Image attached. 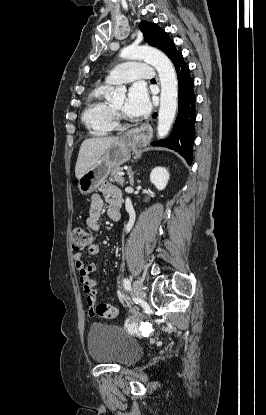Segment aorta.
<instances>
[{
	"instance_id": "aorta-1",
	"label": "aorta",
	"mask_w": 266,
	"mask_h": 415,
	"mask_svg": "<svg viewBox=\"0 0 266 415\" xmlns=\"http://www.w3.org/2000/svg\"><path fill=\"white\" fill-rule=\"evenodd\" d=\"M120 56L130 60H144L157 70L161 84L157 135L159 139L166 137L173 124L178 106V83L172 62L164 53L148 46L126 47L121 51ZM125 92L126 89L120 87L112 91L110 96L116 99L123 96Z\"/></svg>"
}]
</instances>
